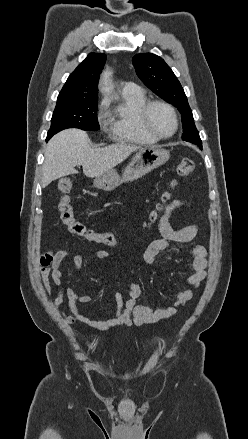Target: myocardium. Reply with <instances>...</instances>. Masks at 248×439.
<instances>
[{"instance_id":"myocardium-1","label":"myocardium","mask_w":248,"mask_h":439,"mask_svg":"<svg viewBox=\"0 0 248 439\" xmlns=\"http://www.w3.org/2000/svg\"><path fill=\"white\" fill-rule=\"evenodd\" d=\"M156 105H161V106H164L165 108H167L173 117L174 129L168 135H162V134L158 133L151 125L150 111H151L152 107H154ZM140 120H141V123H142L143 127L145 128V130L150 135H152L153 137H155L159 140L171 138L173 135H175V133L177 132L178 127H179V119H178V115H177L175 108L170 103H168L164 100H148L142 106V108L140 110Z\"/></svg>"}]
</instances>
